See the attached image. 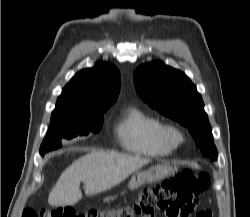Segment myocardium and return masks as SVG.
Wrapping results in <instances>:
<instances>
[{
    "instance_id": "obj_1",
    "label": "myocardium",
    "mask_w": 250,
    "mask_h": 217,
    "mask_svg": "<svg viewBox=\"0 0 250 217\" xmlns=\"http://www.w3.org/2000/svg\"><path fill=\"white\" fill-rule=\"evenodd\" d=\"M161 134L164 141L172 148L178 147L185 142V135L183 131L175 125H162Z\"/></svg>"
}]
</instances>
